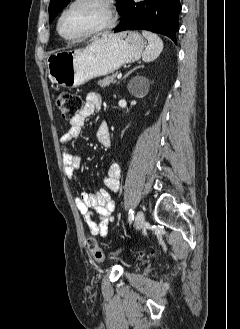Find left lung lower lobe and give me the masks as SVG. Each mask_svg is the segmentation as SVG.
<instances>
[{"label": "left lung lower lobe", "instance_id": "0a47b994", "mask_svg": "<svg viewBox=\"0 0 240 329\" xmlns=\"http://www.w3.org/2000/svg\"><path fill=\"white\" fill-rule=\"evenodd\" d=\"M180 12L179 0H126L121 21L114 31L149 30L166 35L176 43Z\"/></svg>", "mask_w": 240, "mask_h": 329}]
</instances>
